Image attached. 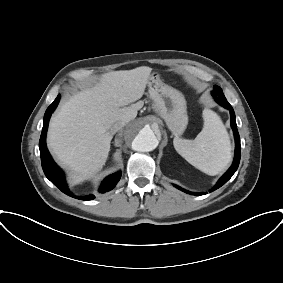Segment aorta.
<instances>
[{
    "label": "aorta",
    "mask_w": 283,
    "mask_h": 283,
    "mask_svg": "<svg viewBox=\"0 0 283 283\" xmlns=\"http://www.w3.org/2000/svg\"><path fill=\"white\" fill-rule=\"evenodd\" d=\"M132 149L139 152H150L158 146V139L149 125L138 123L132 125L127 133Z\"/></svg>",
    "instance_id": "obj_1"
}]
</instances>
